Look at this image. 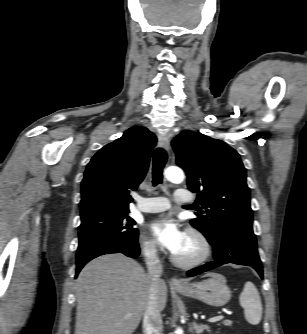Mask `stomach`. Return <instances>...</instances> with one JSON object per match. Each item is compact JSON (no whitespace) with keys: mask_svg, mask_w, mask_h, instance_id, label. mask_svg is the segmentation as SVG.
Returning <instances> with one entry per match:
<instances>
[{"mask_svg":"<svg viewBox=\"0 0 307 334\" xmlns=\"http://www.w3.org/2000/svg\"><path fill=\"white\" fill-rule=\"evenodd\" d=\"M176 290L214 307L223 306L231 299V290L225 277L220 274H211L203 281L191 283L187 288Z\"/></svg>","mask_w":307,"mask_h":334,"instance_id":"1","label":"stomach"}]
</instances>
